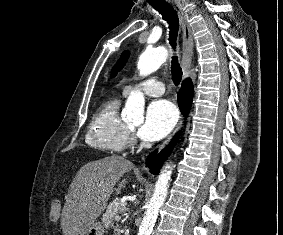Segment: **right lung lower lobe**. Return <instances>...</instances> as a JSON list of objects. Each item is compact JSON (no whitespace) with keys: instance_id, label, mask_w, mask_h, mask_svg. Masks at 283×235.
<instances>
[{"instance_id":"98d812e1","label":"right lung lower lobe","mask_w":283,"mask_h":235,"mask_svg":"<svg viewBox=\"0 0 283 235\" xmlns=\"http://www.w3.org/2000/svg\"><path fill=\"white\" fill-rule=\"evenodd\" d=\"M193 97V87L191 81L188 79L183 82L182 87L178 94V105L182 113H187L190 109ZM176 139H173L170 145L163 150L161 153L156 154V151L152 153L146 160V164L151 168L150 172L157 174L160 170L161 165L168 156L172 149Z\"/></svg>"}]
</instances>
